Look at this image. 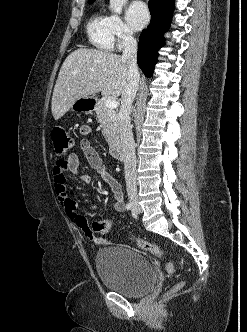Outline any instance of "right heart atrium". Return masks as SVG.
I'll list each match as a JSON object with an SVG mask.
<instances>
[{
	"mask_svg": "<svg viewBox=\"0 0 247 332\" xmlns=\"http://www.w3.org/2000/svg\"><path fill=\"white\" fill-rule=\"evenodd\" d=\"M111 27L119 47H122L133 40V32L120 16L111 15Z\"/></svg>",
	"mask_w": 247,
	"mask_h": 332,
	"instance_id": "right-heart-atrium-1",
	"label": "right heart atrium"
}]
</instances>
